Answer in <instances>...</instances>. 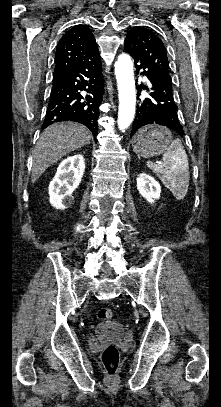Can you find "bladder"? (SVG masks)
<instances>
[{
	"mask_svg": "<svg viewBox=\"0 0 221 407\" xmlns=\"http://www.w3.org/2000/svg\"><path fill=\"white\" fill-rule=\"evenodd\" d=\"M124 332V325L121 321L112 319L107 323L100 324L95 328V334L110 339H117Z\"/></svg>",
	"mask_w": 221,
	"mask_h": 407,
	"instance_id": "bladder-1",
	"label": "bladder"
}]
</instances>
